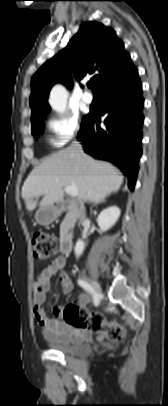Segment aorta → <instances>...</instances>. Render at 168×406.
Masks as SVG:
<instances>
[{"mask_svg":"<svg viewBox=\"0 0 168 406\" xmlns=\"http://www.w3.org/2000/svg\"><path fill=\"white\" fill-rule=\"evenodd\" d=\"M67 90L62 85H55L49 96V104L53 110L63 114L67 108Z\"/></svg>","mask_w":168,"mask_h":406,"instance_id":"aorta-1","label":"aorta"}]
</instances>
